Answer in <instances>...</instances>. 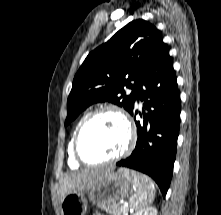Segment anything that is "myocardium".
Masks as SVG:
<instances>
[{
	"label": "myocardium",
	"instance_id": "1",
	"mask_svg": "<svg viewBox=\"0 0 221 215\" xmlns=\"http://www.w3.org/2000/svg\"><path fill=\"white\" fill-rule=\"evenodd\" d=\"M104 113H113L120 118V120L122 121V123L125 126L126 133H127L126 144L120 152H118L117 154H115L107 159L98 160V161L88 160L83 156L81 149H80V141H81L82 134H83L84 130L86 129V127L96 117H98L99 115L104 114ZM135 142H136V129H135L132 121L130 120L129 116L121 108H119L117 106L105 105V106L97 108L96 110H94L93 112L88 114L85 117V119L81 122V124L79 125V127L74 135L72 147H73L74 156L79 163H81L83 165L94 166V165H101V164L115 162V161L125 157L126 155H128L132 151V149L135 146Z\"/></svg>",
	"mask_w": 221,
	"mask_h": 215
}]
</instances>
